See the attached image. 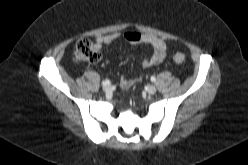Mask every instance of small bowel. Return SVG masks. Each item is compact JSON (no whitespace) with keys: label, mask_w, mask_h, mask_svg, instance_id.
Listing matches in <instances>:
<instances>
[{"label":"small bowel","mask_w":248,"mask_h":165,"mask_svg":"<svg viewBox=\"0 0 248 165\" xmlns=\"http://www.w3.org/2000/svg\"><path fill=\"white\" fill-rule=\"evenodd\" d=\"M124 39L132 44H140L150 47L151 52L143 59V66L149 67L162 62L166 51L167 43L162 38L152 34H140L137 32H115L108 35H100L95 38V46L103 48L110 46L113 42ZM139 79L122 78L120 87L122 89H130Z\"/></svg>","instance_id":"c3829d8e"}]
</instances>
